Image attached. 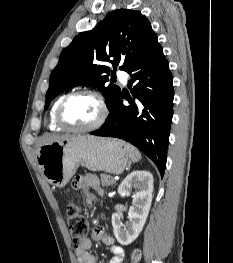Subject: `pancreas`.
Here are the masks:
<instances>
[{"label": "pancreas", "mask_w": 233, "mask_h": 263, "mask_svg": "<svg viewBox=\"0 0 233 263\" xmlns=\"http://www.w3.org/2000/svg\"><path fill=\"white\" fill-rule=\"evenodd\" d=\"M100 178L103 187H108L112 184H115V180L110 178V176L107 174H100Z\"/></svg>", "instance_id": "1"}]
</instances>
